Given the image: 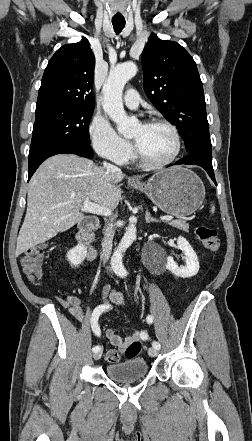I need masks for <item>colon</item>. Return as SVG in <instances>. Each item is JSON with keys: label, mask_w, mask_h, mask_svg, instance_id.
Masks as SVG:
<instances>
[{"label": "colon", "mask_w": 252, "mask_h": 441, "mask_svg": "<svg viewBox=\"0 0 252 441\" xmlns=\"http://www.w3.org/2000/svg\"><path fill=\"white\" fill-rule=\"evenodd\" d=\"M195 234L197 239L210 252H216L220 248V239L215 229L200 225L196 227ZM42 261L43 254L38 247L29 249L21 258L20 264L24 273L31 281L40 279L42 276ZM141 350V343L139 341L132 342L125 351L127 358H133ZM106 359L109 363H118L121 359V354L118 350L111 349L106 354Z\"/></svg>", "instance_id": "colon-1"}]
</instances>
